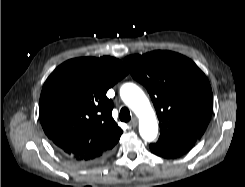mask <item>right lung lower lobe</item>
Here are the masks:
<instances>
[{
	"instance_id": "right-lung-lower-lobe-1",
	"label": "right lung lower lobe",
	"mask_w": 245,
	"mask_h": 187,
	"mask_svg": "<svg viewBox=\"0 0 245 187\" xmlns=\"http://www.w3.org/2000/svg\"><path fill=\"white\" fill-rule=\"evenodd\" d=\"M59 151V150H58ZM60 152V151H59ZM61 153V152H60ZM62 154V153H61ZM109 155V154H108ZM107 155V156H108ZM107 156H105V157H107ZM104 157V158H105ZM67 158V157H66ZM103 158V159H104ZM70 160V159H69ZM100 160H102V159H100ZM100 160H96V161H93V162H85V161H79V162H76V161H73V162H75V163H77V164H81V165H87V164H92V163H95V162H98V161H100ZM72 161V160H71Z\"/></svg>"
}]
</instances>
